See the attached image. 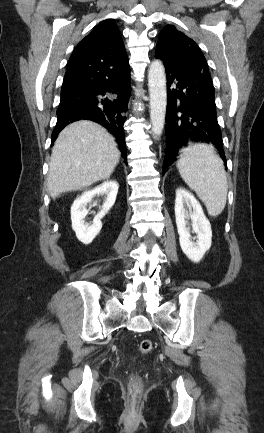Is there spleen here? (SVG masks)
I'll return each instance as SVG.
<instances>
[{
	"label": "spleen",
	"instance_id": "spleen-1",
	"mask_svg": "<svg viewBox=\"0 0 264 433\" xmlns=\"http://www.w3.org/2000/svg\"><path fill=\"white\" fill-rule=\"evenodd\" d=\"M177 168L185 183L204 202L208 214L224 210L228 183L222 159L211 145L194 144L182 150Z\"/></svg>",
	"mask_w": 264,
	"mask_h": 433
}]
</instances>
